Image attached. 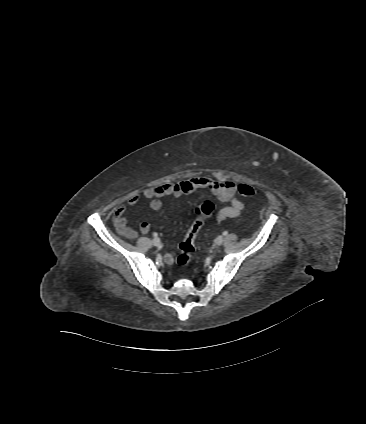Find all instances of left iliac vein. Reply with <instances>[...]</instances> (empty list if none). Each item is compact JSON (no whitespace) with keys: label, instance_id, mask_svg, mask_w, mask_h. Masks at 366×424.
<instances>
[{"label":"left iliac vein","instance_id":"obj_1","mask_svg":"<svg viewBox=\"0 0 366 424\" xmlns=\"http://www.w3.org/2000/svg\"><path fill=\"white\" fill-rule=\"evenodd\" d=\"M224 241L223 236H218L215 240L216 245H221Z\"/></svg>","mask_w":366,"mask_h":424}]
</instances>
